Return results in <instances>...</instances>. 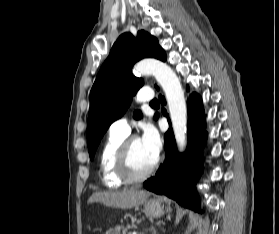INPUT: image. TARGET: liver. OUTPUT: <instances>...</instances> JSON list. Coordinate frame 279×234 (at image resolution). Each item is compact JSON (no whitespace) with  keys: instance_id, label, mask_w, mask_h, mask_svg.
Wrapping results in <instances>:
<instances>
[{"instance_id":"liver-1","label":"liver","mask_w":279,"mask_h":234,"mask_svg":"<svg viewBox=\"0 0 279 234\" xmlns=\"http://www.w3.org/2000/svg\"><path fill=\"white\" fill-rule=\"evenodd\" d=\"M150 193L143 190H124L110 192H96L88 199V203L99 202L108 207L129 209L147 200Z\"/></svg>"}]
</instances>
